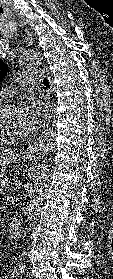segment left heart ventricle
Returning a JSON list of instances; mask_svg holds the SVG:
<instances>
[{"instance_id": "1", "label": "left heart ventricle", "mask_w": 113, "mask_h": 279, "mask_svg": "<svg viewBox=\"0 0 113 279\" xmlns=\"http://www.w3.org/2000/svg\"><path fill=\"white\" fill-rule=\"evenodd\" d=\"M0 123L3 129L10 134H25L19 108H15L6 112L2 116Z\"/></svg>"}]
</instances>
